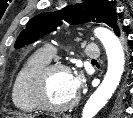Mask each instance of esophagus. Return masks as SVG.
Instances as JSON below:
<instances>
[{
	"label": "esophagus",
	"mask_w": 133,
	"mask_h": 118,
	"mask_svg": "<svg viewBox=\"0 0 133 118\" xmlns=\"http://www.w3.org/2000/svg\"><path fill=\"white\" fill-rule=\"evenodd\" d=\"M63 118H70V115H64Z\"/></svg>",
	"instance_id": "34e87169"
}]
</instances>
